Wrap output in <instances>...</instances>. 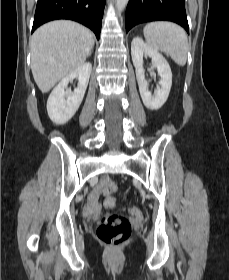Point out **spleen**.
I'll use <instances>...</instances> for the list:
<instances>
[{"instance_id": "spleen-1", "label": "spleen", "mask_w": 229, "mask_h": 280, "mask_svg": "<svg viewBox=\"0 0 229 280\" xmlns=\"http://www.w3.org/2000/svg\"><path fill=\"white\" fill-rule=\"evenodd\" d=\"M144 36L150 48L167 53L180 66L186 64L189 45L182 27L167 21H155L144 27Z\"/></svg>"}]
</instances>
